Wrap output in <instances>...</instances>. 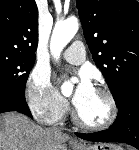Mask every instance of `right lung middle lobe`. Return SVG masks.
<instances>
[{"label": "right lung middle lobe", "mask_w": 139, "mask_h": 150, "mask_svg": "<svg viewBox=\"0 0 139 150\" xmlns=\"http://www.w3.org/2000/svg\"><path fill=\"white\" fill-rule=\"evenodd\" d=\"M35 57L0 50V89L25 96L26 81Z\"/></svg>", "instance_id": "right-lung-middle-lobe-1"}]
</instances>
